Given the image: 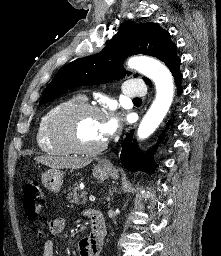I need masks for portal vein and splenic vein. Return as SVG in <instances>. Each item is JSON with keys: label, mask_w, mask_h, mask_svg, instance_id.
Segmentation results:
<instances>
[{"label": "portal vein and splenic vein", "mask_w": 221, "mask_h": 256, "mask_svg": "<svg viewBox=\"0 0 221 256\" xmlns=\"http://www.w3.org/2000/svg\"><path fill=\"white\" fill-rule=\"evenodd\" d=\"M95 200H96L95 196H93V195L89 196V201L94 202Z\"/></svg>", "instance_id": "portal-vein-and-splenic-vein-1"}]
</instances>
